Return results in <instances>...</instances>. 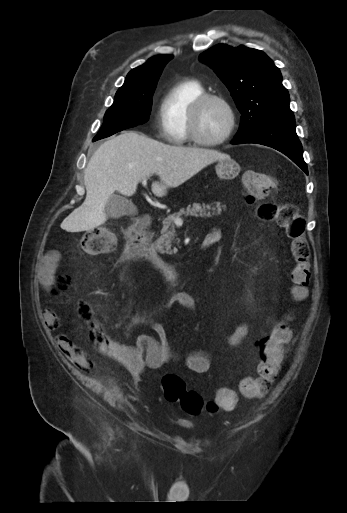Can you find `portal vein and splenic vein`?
I'll return each instance as SVG.
<instances>
[{
    "instance_id": "1",
    "label": "portal vein and splenic vein",
    "mask_w": 347,
    "mask_h": 513,
    "mask_svg": "<svg viewBox=\"0 0 347 513\" xmlns=\"http://www.w3.org/2000/svg\"><path fill=\"white\" fill-rule=\"evenodd\" d=\"M146 183H147V180L144 179L142 181V185L145 186ZM173 222L175 223V225L180 226V225L183 224V219L181 217H179V216H176V217L173 218Z\"/></svg>"
}]
</instances>
